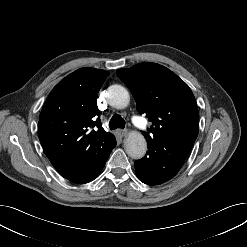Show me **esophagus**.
I'll list each match as a JSON object with an SVG mask.
<instances>
[{"instance_id": "obj_1", "label": "esophagus", "mask_w": 247, "mask_h": 247, "mask_svg": "<svg viewBox=\"0 0 247 247\" xmlns=\"http://www.w3.org/2000/svg\"><path fill=\"white\" fill-rule=\"evenodd\" d=\"M116 133H117L120 137H123V136L126 135L127 130H125V129H118V130L116 131Z\"/></svg>"}]
</instances>
